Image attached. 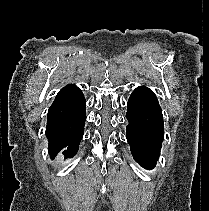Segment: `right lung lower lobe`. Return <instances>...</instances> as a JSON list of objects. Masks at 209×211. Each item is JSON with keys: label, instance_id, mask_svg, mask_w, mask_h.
<instances>
[{"label": "right lung lower lobe", "instance_id": "right-lung-lower-lobe-1", "mask_svg": "<svg viewBox=\"0 0 209 211\" xmlns=\"http://www.w3.org/2000/svg\"><path fill=\"white\" fill-rule=\"evenodd\" d=\"M86 100L73 84L62 88L48 110L46 136L50 157L61 153L73 157L84 134Z\"/></svg>", "mask_w": 209, "mask_h": 211}]
</instances>
